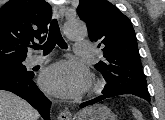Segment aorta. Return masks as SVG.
I'll use <instances>...</instances> for the list:
<instances>
[{"mask_svg":"<svg viewBox=\"0 0 165 120\" xmlns=\"http://www.w3.org/2000/svg\"><path fill=\"white\" fill-rule=\"evenodd\" d=\"M64 33L69 39H81L87 35V28L80 19H70L64 25Z\"/></svg>","mask_w":165,"mask_h":120,"instance_id":"1","label":"aorta"}]
</instances>
